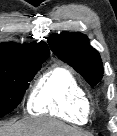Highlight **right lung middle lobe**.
Listing matches in <instances>:
<instances>
[{"label": "right lung middle lobe", "instance_id": "obj_1", "mask_svg": "<svg viewBox=\"0 0 117 136\" xmlns=\"http://www.w3.org/2000/svg\"><path fill=\"white\" fill-rule=\"evenodd\" d=\"M45 61L46 59L29 63L0 62V117L18 106L29 82Z\"/></svg>", "mask_w": 117, "mask_h": 136}]
</instances>
